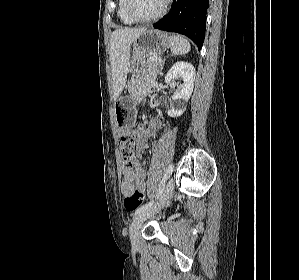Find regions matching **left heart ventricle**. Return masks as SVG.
Masks as SVG:
<instances>
[{
  "label": "left heart ventricle",
  "mask_w": 299,
  "mask_h": 280,
  "mask_svg": "<svg viewBox=\"0 0 299 280\" xmlns=\"http://www.w3.org/2000/svg\"><path fill=\"white\" fill-rule=\"evenodd\" d=\"M164 0H132L131 8L139 18H149L162 7Z\"/></svg>",
  "instance_id": "obj_1"
}]
</instances>
